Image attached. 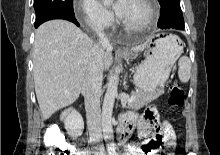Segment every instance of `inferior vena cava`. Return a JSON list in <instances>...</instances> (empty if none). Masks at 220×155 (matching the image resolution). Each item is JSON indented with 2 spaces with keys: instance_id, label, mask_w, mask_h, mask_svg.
I'll return each instance as SVG.
<instances>
[{
  "instance_id": "1",
  "label": "inferior vena cava",
  "mask_w": 220,
  "mask_h": 155,
  "mask_svg": "<svg viewBox=\"0 0 220 155\" xmlns=\"http://www.w3.org/2000/svg\"><path fill=\"white\" fill-rule=\"evenodd\" d=\"M95 31L99 37L93 47V58L90 61L82 85L85 99L87 125L91 138L99 139L102 133L100 97L102 94L103 59L105 49H110V43L104 34L103 27L97 26Z\"/></svg>"
}]
</instances>
